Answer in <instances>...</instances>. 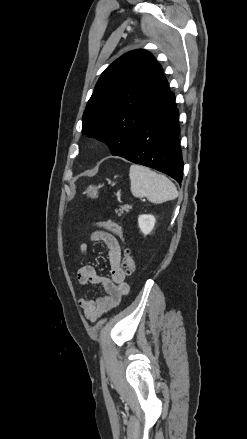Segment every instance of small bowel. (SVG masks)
<instances>
[{"label":"small bowel","instance_id":"obj_1","mask_svg":"<svg viewBox=\"0 0 247 439\" xmlns=\"http://www.w3.org/2000/svg\"><path fill=\"white\" fill-rule=\"evenodd\" d=\"M91 240L102 241L107 248L108 262L110 265V278L101 277L96 273L92 265H84L77 273L80 284H100L103 286L106 295L92 299H80L79 305L85 317L91 322L96 321L105 312L116 307L121 298L129 293V286L126 283V273L122 264V249L118 239L109 231L97 230L91 233ZM78 253L85 256L88 253V245L81 243Z\"/></svg>","mask_w":247,"mask_h":439}]
</instances>
